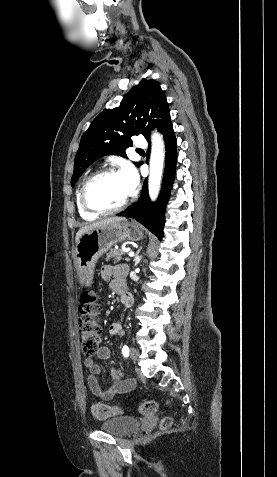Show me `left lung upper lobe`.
<instances>
[{
    "label": "left lung upper lobe",
    "instance_id": "left-lung-upper-lobe-1",
    "mask_svg": "<svg viewBox=\"0 0 277 477\" xmlns=\"http://www.w3.org/2000/svg\"><path fill=\"white\" fill-rule=\"evenodd\" d=\"M170 120L160 84L153 80L141 81L118 107L101 112L83 134L74 160L72 187L94 161L109 154L126 157L124 150L132 145L131 136L143 134L149 140L150 128L160 131Z\"/></svg>",
    "mask_w": 277,
    "mask_h": 477
}]
</instances>
